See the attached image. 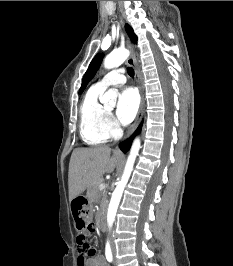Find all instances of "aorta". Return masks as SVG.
<instances>
[{
	"label": "aorta",
	"instance_id": "obj_1",
	"mask_svg": "<svg viewBox=\"0 0 233 266\" xmlns=\"http://www.w3.org/2000/svg\"><path fill=\"white\" fill-rule=\"evenodd\" d=\"M129 56V51L120 48L112 53H110L104 59V67L107 69H112L120 66ZM117 92L113 89H109L101 98V103L105 105L114 106L116 104ZM140 149V139L136 138L132 144L129 156L127 158V162L125 165V169L120 181L117 183L115 190L112 193V197L109 203L108 212H107V223L109 229L112 227L113 222L115 220V216L117 213V209L124 191V188L130 178L131 172L133 170L135 159L138 155Z\"/></svg>",
	"mask_w": 233,
	"mask_h": 266
}]
</instances>
